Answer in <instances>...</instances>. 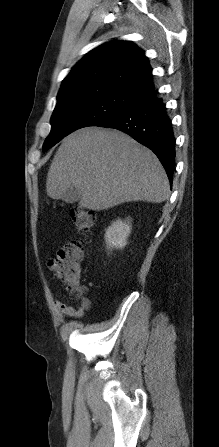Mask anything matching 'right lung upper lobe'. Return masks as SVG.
<instances>
[{"mask_svg": "<svg viewBox=\"0 0 219 447\" xmlns=\"http://www.w3.org/2000/svg\"><path fill=\"white\" fill-rule=\"evenodd\" d=\"M78 85L114 87L140 101L155 95L144 51L124 40L102 44L87 53L63 80L61 89Z\"/></svg>", "mask_w": 219, "mask_h": 447, "instance_id": "right-lung-upper-lobe-1", "label": "right lung upper lobe"}]
</instances>
